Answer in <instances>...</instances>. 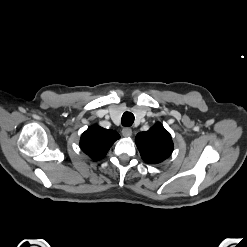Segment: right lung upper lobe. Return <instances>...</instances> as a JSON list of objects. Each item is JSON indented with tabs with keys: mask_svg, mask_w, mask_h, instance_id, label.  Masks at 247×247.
<instances>
[{
	"mask_svg": "<svg viewBox=\"0 0 247 247\" xmlns=\"http://www.w3.org/2000/svg\"><path fill=\"white\" fill-rule=\"evenodd\" d=\"M120 138L114 130H107L94 125L89 127L81 136L80 148L93 160L102 159L112 144Z\"/></svg>",
	"mask_w": 247,
	"mask_h": 247,
	"instance_id": "right-lung-upper-lobe-1",
	"label": "right lung upper lobe"
}]
</instances>
